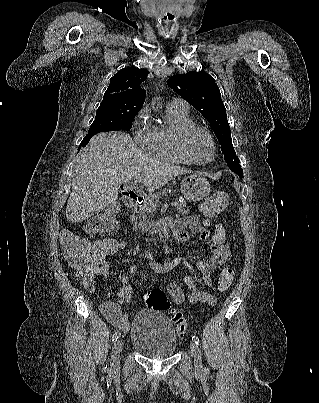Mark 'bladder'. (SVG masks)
Instances as JSON below:
<instances>
[{
  "mask_svg": "<svg viewBox=\"0 0 319 403\" xmlns=\"http://www.w3.org/2000/svg\"><path fill=\"white\" fill-rule=\"evenodd\" d=\"M130 344L142 356L167 358L176 352L178 339L168 316L156 310L142 309L131 323Z\"/></svg>",
  "mask_w": 319,
  "mask_h": 403,
  "instance_id": "1",
  "label": "bladder"
}]
</instances>
